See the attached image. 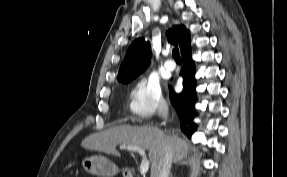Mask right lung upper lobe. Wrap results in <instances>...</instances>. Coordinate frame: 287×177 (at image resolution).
<instances>
[{
    "label": "right lung upper lobe",
    "mask_w": 287,
    "mask_h": 177,
    "mask_svg": "<svg viewBox=\"0 0 287 177\" xmlns=\"http://www.w3.org/2000/svg\"><path fill=\"white\" fill-rule=\"evenodd\" d=\"M168 41L179 44L181 53L190 43L189 31L183 25H176L167 31ZM151 58L150 43L144 38L135 39L129 46L126 56L120 66L117 79L124 82L140 75L149 65Z\"/></svg>",
    "instance_id": "right-lung-upper-lobe-1"
}]
</instances>
